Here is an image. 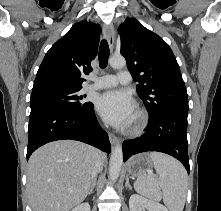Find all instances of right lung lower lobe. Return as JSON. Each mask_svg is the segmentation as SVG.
<instances>
[{"label":"right lung lower lobe","instance_id":"right-lung-lower-lobe-1","mask_svg":"<svg viewBox=\"0 0 221 211\" xmlns=\"http://www.w3.org/2000/svg\"><path fill=\"white\" fill-rule=\"evenodd\" d=\"M28 136L27 159L38 147L62 139L82 141L107 153L111 150L92 103L81 109L45 108L30 113Z\"/></svg>","mask_w":221,"mask_h":211}]
</instances>
